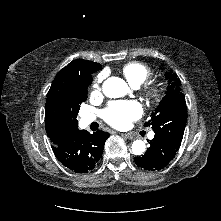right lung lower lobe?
<instances>
[{
  "label": "right lung lower lobe",
  "instance_id": "obj_1",
  "mask_svg": "<svg viewBox=\"0 0 221 221\" xmlns=\"http://www.w3.org/2000/svg\"><path fill=\"white\" fill-rule=\"evenodd\" d=\"M109 133L76 130L70 140L53 149L56 158L76 173H87L99 163Z\"/></svg>",
  "mask_w": 221,
  "mask_h": 221
}]
</instances>
